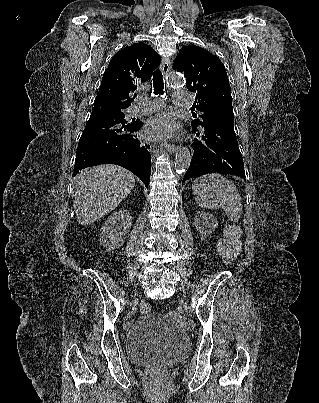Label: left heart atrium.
Wrapping results in <instances>:
<instances>
[{
  "instance_id": "left-heart-atrium-1",
  "label": "left heart atrium",
  "mask_w": 319,
  "mask_h": 403,
  "mask_svg": "<svg viewBox=\"0 0 319 403\" xmlns=\"http://www.w3.org/2000/svg\"><path fill=\"white\" fill-rule=\"evenodd\" d=\"M176 122L167 113H160L150 118L145 126V134L149 138H169L176 133Z\"/></svg>"
}]
</instances>
